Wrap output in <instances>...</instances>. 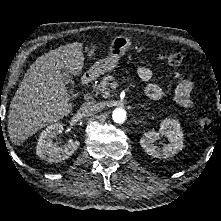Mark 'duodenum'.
I'll use <instances>...</instances> for the list:
<instances>
[{"instance_id":"410a0bca","label":"duodenum","mask_w":221,"mask_h":221,"mask_svg":"<svg viewBox=\"0 0 221 221\" xmlns=\"http://www.w3.org/2000/svg\"><path fill=\"white\" fill-rule=\"evenodd\" d=\"M91 81H92V76H91V74L87 73V74H85V75L82 76V78H81V85H82V86H86V85H88Z\"/></svg>"}]
</instances>
